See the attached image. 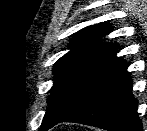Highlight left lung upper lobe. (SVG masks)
I'll use <instances>...</instances> for the list:
<instances>
[{
    "label": "left lung upper lobe",
    "instance_id": "5c2ea615",
    "mask_svg": "<svg viewBox=\"0 0 147 131\" xmlns=\"http://www.w3.org/2000/svg\"><path fill=\"white\" fill-rule=\"evenodd\" d=\"M111 26L99 23L75 33L70 51L54 65V84L41 131H47L76 112L93 92L126 62L116 57L115 46L102 43Z\"/></svg>",
    "mask_w": 147,
    "mask_h": 131
}]
</instances>
